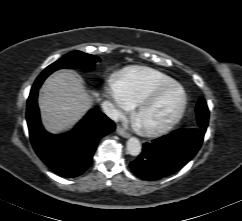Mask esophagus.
I'll use <instances>...</instances> for the list:
<instances>
[{
  "label": "esophagus",
  "mask_w": 242,
  "mask_h": 221,
  "mask_svg": "<svg viewBox=\"0 0 242 221\" xmlns=\"http://www.w3.org/2000/svg\"><path fill=\"white\" fill-rule=\"evenodd\" d=\"M116 132H117V134H119L120 136H122V137H124V138H128L130 135L127 133V132H125L121 127H117V129H116Z\"/></svg>",
  "instance_id": "esophagus-1"
}]
</instances>
